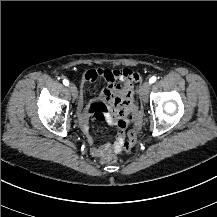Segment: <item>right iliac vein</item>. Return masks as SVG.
<instances>
[{
	"mask_svg": "<svg viewBox=\"0 0 217 217\" xmlns=\"http://www.w3.org/2000/svg\"><path fill=\"white\" fill-rule=\"evenodd\" d=\"M69 90L73 96V99L75 100L77 98V93H78L76 86L74 84H70Z\"/></svg>",
	"mask_w": 217,
	"mask_h": 217,
	"instance_id": "right-iliac-vein-1",
	"label": "right iliac vein"
}]
</instances>
